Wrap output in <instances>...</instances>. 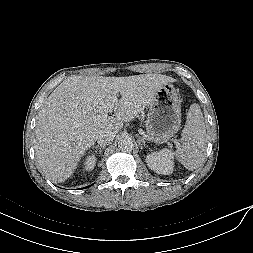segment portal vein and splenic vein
Masks as SVG:
<instances>
[{
	"label": "portal vein and splenic vein",
	"mask_w": 253,
	"mask_h": 253,
	"mask_svg": "<svg viewBox=\"0 0 253 253\" xmlns=\"http://www.w3.org/2000/svg\"><path fill=\"white\" fill-rule=\"evenodd\" d=\"M107 116H108V112H103L102 114L96 115L95 118L100 119L102 117H107ZM175 143L179 144L177 140H175Z\"/></svg>",
	"instance_id": "18ae733b"
}]
</instances>
